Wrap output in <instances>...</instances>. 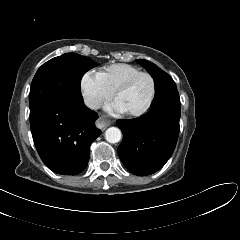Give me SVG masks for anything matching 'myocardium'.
I'll return each mask as SVG.
<instances>
[{
	"label": "myocardium",
	"instance_id": "myocardium-1",
	"mask_svg": "<svg viewBox=\"0 0 240 240\" xmlns=\"http://www.w3.org/2000/svg\"><path fill=\"white\" fill-rule=\"evenodd\" d=\"M141 76H148L150 78V80L152 82V94H151V97H150L148 103L142 109L137 110V111H128V114L133 117L143 116L151 109V107L155 101L156 93H157V82H156L155 77L149 72L141 71V72L131 76L126 81H124L115 91V96L118 97L122 92L129 89L133 85V83Z\"/></svg>",
	"mask_w": 240,
	"mask_h": 240
}]
</instances>
